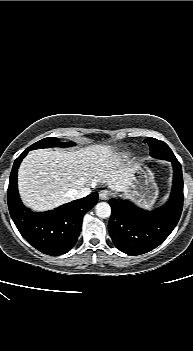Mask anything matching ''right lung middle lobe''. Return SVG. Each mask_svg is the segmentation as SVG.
<instances>
[{"instance_id":"obj_1","label":"right lung middle lobe","mask_w":193,"mask_h":351,"mask_svg":"<svg viewBox=\"0 0 193 351\" xmlns=\"http://www.w3.org/2000/svg\"><path fill=\"white\" fill-rule=\"evenodd\" d=\"M73 145H74L73 142L60 143L58 138L48 137V138H44V139L32 144L26 150L30 151V150L40 149V148H51V147H57V146L70 147Z\"/></svg>"}]
</instances>
